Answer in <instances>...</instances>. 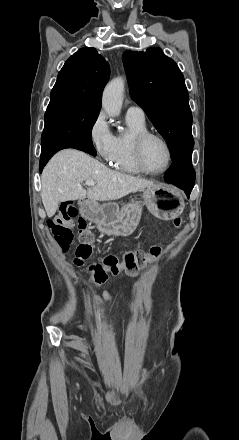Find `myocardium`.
I'll use <instances>...</instances> for the list:
<instances>
[{
	"label": "myocardium",
	"mask_w": 239,
	"mask_h": 440,
	"mask_svg": "<svg viewBox=\"0 0 239 440\" xmlns=\"http://www.w3.org/2000/svg\"><path fill=\"white\" fill-rule=\"evenodd\" d=\"M151 138H156L159 139L160 141H162L167 149V153H168V162L166 167L159 171V172H152L150 171L145 162H144V158H143V149L145 146V143L151 139ZM132 152H133V157L135 160V163L137 165V167L139 168V170L149 176L152 177H157V176H161L165 173H167L169 171V169L171 168L172 162H173V150H172V146L169 142V140L162 134H160L159 132L156 131H150V130H145L142 132L137 133L132 141Z\"/></svg>",
	"instance_id": "1"
}]
</instances>
